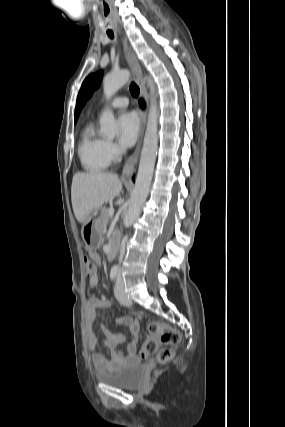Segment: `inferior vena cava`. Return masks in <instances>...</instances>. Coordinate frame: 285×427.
I'll return each mask as SVG.
<instances>
[{
    "mask_svg": "<svg viewBox=\"0 0 285 427\" xmlns=\"http://www.w3.org/2000/svg\"><path fill=\"white\" fill-rule=\"evenodd\" d=\"M126 240H127V237H124L122 239V242H121L119 263H121V261L123 259V256H124V253H125V243H126Z\"/></svg>",
    "mask_w": 285,
    "mask_h": 427,
    "instance_id": "1",
    "label": "inferior vena cava"
}]
</instances>
